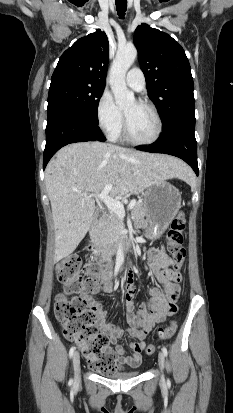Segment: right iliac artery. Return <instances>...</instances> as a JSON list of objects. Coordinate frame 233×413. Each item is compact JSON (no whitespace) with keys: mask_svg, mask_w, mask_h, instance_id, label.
<instances>
[{"mask_svg":"<svg viewBox=\"0 0 233 413\" xmlns=\"http://www.w3.org/2000/svg\"><path fill=\"white\" fill-rule=\"evenodd\" d=\"M119 268H120V266H119V265H116V267H115V275H117V273H118V271H119ZM74 351H75V347L72 346V347L70 348V350H69V356H70V358H72V356H73V354H74ZM72 384H73V380L70 379V380H69V385H72Z\"/></svg>","mask_w":233,"mask_h":413,"instance_id":"1","label":"right iliac artery"}]
</instances>
